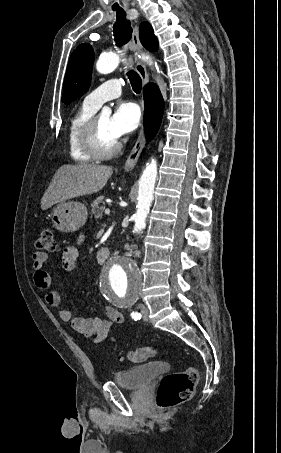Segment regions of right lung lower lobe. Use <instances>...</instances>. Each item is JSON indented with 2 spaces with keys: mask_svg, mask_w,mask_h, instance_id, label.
I'll use <instances>...</instances> for the list:
<instances>
[{
  "mask_svg": "<svg viewBox=\"0 0 281 453\" xmlns=\"http://www.w3.org/2000/svg\"><path fill=\"white\" fill-rule=\"evenodd\" d=\"M145 134L147 140L153 139L161 123L164 101L158 87L148 84L144 88Z\"/></svg>",
  "mask_w": 281,
  "mask_h": 453,
  "instance_id": "obj_1",
  "label": "right lung lower lobe"
}]
</instances>
